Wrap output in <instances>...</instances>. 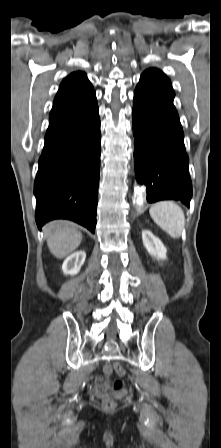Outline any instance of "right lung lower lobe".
<instances>
[{"label": "right lung lower lobe", "instance_id": "right-lung-lower-lobe-1", "mask_svg": "<svg viewBox=\"0 0 221 448\" xmlns=\"http://www.w3.org/2000/svg\"><path fill=\"white\" fill-rule=\"evenodd\" d=\"M100 145L95 92L50 116L34 183L39 229L60 218L95 232Z\"/></svg>", "mask_w": 221, "mask_h": 448}]
</instances>
